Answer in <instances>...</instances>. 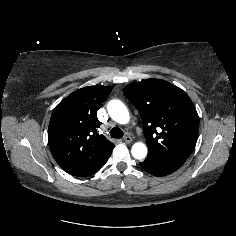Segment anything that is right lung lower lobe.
<instances>
[{
  "label": "right lung lower lobe",
  "instance_id": "98d812e1",
  "mask_svg": "<svg viewBox=\"0 0 236 236\" xmlns=\"http://www.w3.org/2000/svg\"><path fill=\"white\" fill-rule=\"evenodd\" d=\"M110 155L108 157H106L88 176L95 174L99 169H101L105 165V163L107 162Z\"/></svg>",
  "mask_w": 236,
  "mask_h": 236
}]
</instances>
